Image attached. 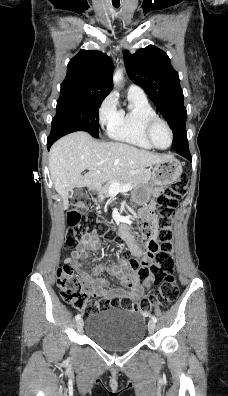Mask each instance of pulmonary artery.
<instances>
[{"instance_id":"pulmonary-artery-1","label":"pulmonary artery","mask_w":228,"mask_h":396,"mask_svg":"<svg viewBox=\"0 0 228 396\" xmlns=\"http://www.w3.org/2000/svg\"><path fill=\"white\" fill-rule=\"evenodd\" d=\"M128 93L134 94V95H139V96H145L144 90L136 84H130V86L128 88Z\"/></svg>"}]
</instances>
